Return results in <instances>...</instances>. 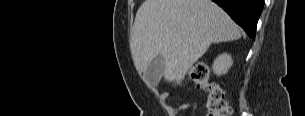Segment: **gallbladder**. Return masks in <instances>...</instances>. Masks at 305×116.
<instances>
[{"instance_id":"gallbladder-1","label":"gallbladder","mask_w":305,"mask_h":116,"mask_svg":"<svg viewBox=\"0 0 305 116\" xmlns=\"http://www.w3.org/2000/svg\"><path fill=\"white\" fill-rule=\"evenodd\" d=\"M165 60L162 55H157L144 72L145 79L152 85L157 86L163 76Z\"/></svg>"}]
</instances>
